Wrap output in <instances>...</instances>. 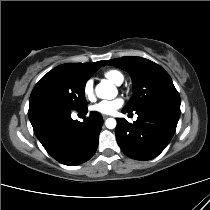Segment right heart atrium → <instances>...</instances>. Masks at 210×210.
Listing matches in <instances>:
<instances>
[{"mask_svg": "<svg viewBox=\"0 0 210 210\" xmlns=\"http://www.w3.org/2000/svg\"><path fill=\"white\" fill-rule=\"evenodd\" d=\"M83 95L89 101H93L95 99L94 82L92 79L85 82L83 86Z\"/></svg>", "mask_w": 210, "mask_h": 210, "instance_id": "obj_1", "label": "right heart atrium"}]
</instances>
